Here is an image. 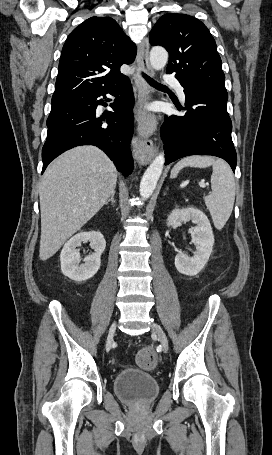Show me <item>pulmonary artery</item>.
<instances>
[{"mask_svg":"<svg viewBox=\"0 0 272 455\" xmlns=\"http://www.w3.org/2000/svg\"><path fill=\"white\" fill-rule=\"evenodd\" d=\"M163 80H164L165 83H168V84L174 86L175 89L177 90V93L180 96V98L182 100H185L184 89H183L182 85L180 84V82L174 76L165 75L163 77Z\"/></svg>","mask_w":272,"mask_h":455,"instance_id":"e3ab8cb5","label":"pulmonary artery"}]
</instances>
